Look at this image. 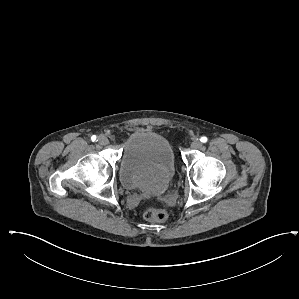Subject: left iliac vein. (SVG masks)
Segmentation results:
<instances>
[{
	"instance_id": "4c4485c4",
	"label": "left iliac vein",
	"mask_w": 299,
	"mask_h": 299,
	"mask_svg": "<svg viewBox=\"0 0 299 299\" xmlns=\"http://www.w3.org/2000/svg\"><path fill=\"white\" fill-rule=\"evenodd\" d=\"M202 147V143L199 140H194L191 143V148L192 149H200Z\"/></svg>"
}]
</instances>
